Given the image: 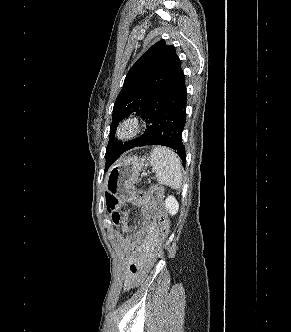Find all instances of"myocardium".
I'll return each mask as SVG.
<instances>
[{"mask_svg":"<svg viewBox=\"0 0 291 332\" xmlns=\"http://www.w3.org/2000/svg\"><path fill=\"white\" fill-rule=\"evenodd\" d=\"M142 130V120L137 115L125 117L119 124L116 135L118 139L129 141L136 138Z\"/></svg>","mask_w":291,"mask_h":332,"instance_id":"f54148a6","label":"myocardium"}]
</instances>
